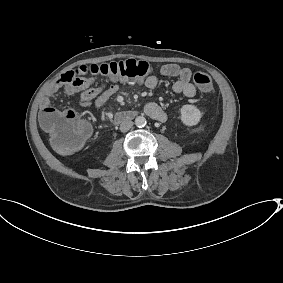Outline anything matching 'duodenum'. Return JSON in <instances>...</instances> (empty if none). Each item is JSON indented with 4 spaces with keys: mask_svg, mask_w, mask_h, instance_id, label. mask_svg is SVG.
Returning <instances> with one entry per match:
<instances>
[{
    "mask_svg": "<svg viewBox=\"0 0 283 283\" xmlns=\"http://www.w3.org/2000/svg\"><path fill=\"white\" fill-rule=\"evenodd\" d=\"M136 112H120L115 114L114 119H113V124L114 125H118V124H122L126 121H129L131 119H133L136 116Z\"/></svg>",
    "mask_w": 283,
    "mask_h": 283,
    "instance_id": "duodenum-1",
    "label": "duodenum"
}]
</instances>
